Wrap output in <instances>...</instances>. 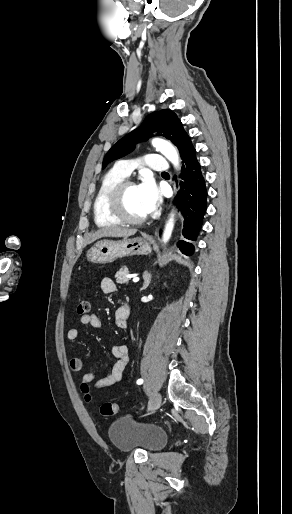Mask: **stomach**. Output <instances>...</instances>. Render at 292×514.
Listing matches in <instances>:
<instances>
[{"label": "stomach", "mask_w": 292, "mask_h": 514, "mask_svg": "<svg viewBox=\"0 0 292 514\" xmlns=\"http://www.w3.org/2000/svg\"><path fill=\"white\" fill-rule=\"evenodd\" d=\"M151 246L144 240V238H124L119 242L114 240H101L97 242L92 248L87 258L89 262L95 264H111L118 258H125V256H147L150 254Z\"/></svg>", "instance_id": "stomach-1"}]
</instances>
